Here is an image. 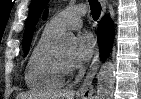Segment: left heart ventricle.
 <instances>
[{
	"label": "left heart ventricle",
	"instance_id": "obj_1",
	"mask_svg": "<svg viewBox=\"0 0 141 99\" xmlns=\"http://www.w3.org/2000/svg\"><path fill=\"white\" fill-rule=\"evenodd\" d=\"M62 60L67 61V62H71L72 60V54L65 52V53H61L58 55Z\"/></svg>",
	"mask_w": 141,
	"mask_h": 99
}]
</instances>
